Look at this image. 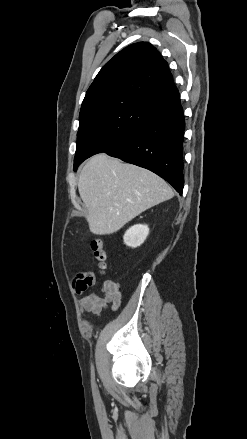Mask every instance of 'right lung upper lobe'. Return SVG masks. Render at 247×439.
<instances>
[{
    "label": "right lung upper lobe",
    "mask_w": 247,
    "mask_h": 439,
    "mask_svg": "<svg viewBox=\"0 0 247 439\" xmlns=\"http://www.w3.org/2000/svg\"><path fill=\"white\" fill-rule=\"evenodd\" d=\"M179 97L167 62L150 43L127 46L107 62L86 92L81 111L130 101L150 111Z\"/></svg>",
    "instance_id": "right-lung-upper-lobe-1"
}]
</instances>
